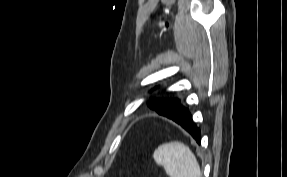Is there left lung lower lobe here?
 <instances>
[{"label":"left lung lower lobe","instance_id":"obj_1","mask_svg":"<svg viewBox=\"0 0 287 177\" xmlns=\"http://www.w3.org/2000/svg\"><path fill=\"white\" fill-rule=\"evenodd\" d=\"M175 100L177 101L179 108L175 111L174 114H169L166 117L172 119L173 121L181 125L200 144V130L193 123L189 111L180 104V101L178 99Z\"/></svg>","mask_w":287,"mask_h":177}]
</instances>
